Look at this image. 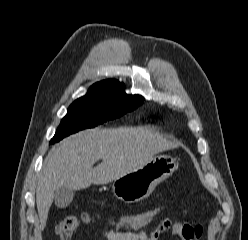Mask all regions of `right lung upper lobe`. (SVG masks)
Listing matches in <instances>:
<instances>
[{
  "mask_svg": "<svg viewBox=\"0 0 248 240\" xmlns=\"http://www.w3.org/2000/svg\"><path fill=\"white\" fill-rule=\"evenodd\" d=\"M119 81L114 80V79H109V80H104L98 83H95L92 85L89 90L91 89H97V90H113L118 88L119 86H122Z\"/></svg>",
  "mask_w": 248,
  "mask_h": 240,
  "instance_id": "cb5924a9",
  "label": "right lung upper lobe"
}]
</instances>
